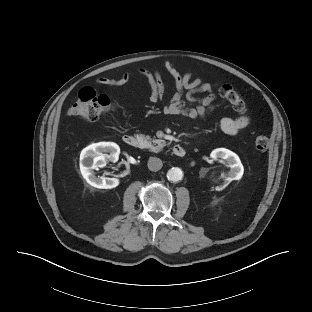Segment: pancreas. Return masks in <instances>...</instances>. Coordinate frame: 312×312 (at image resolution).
Masks as SVG:
<instances>
[{"label":"pancreas","instance_id":"cf45deb5","mask_svg":"<svg viewBox=\"0 0 312 312\" xmlns=\"http://www.w3.org/2000/svg\"><path fill=\"white\" fill-rule=\"evenodd\" d=\"M140 145L142 148H148L150 151L158 153L166 146V141L162 139H155L151 141L149 136L143 134L138 135Z\"/></svg>","mask_w":312,"mask_h":312}]
</instances>
